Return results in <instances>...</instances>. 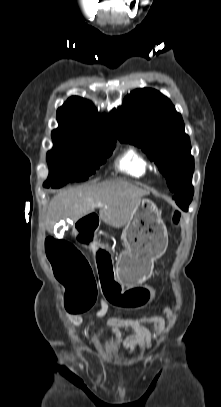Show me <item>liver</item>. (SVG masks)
<instances>
[{
  "mask_svg": "<svg viewBox=\"0 0 221 407\" xmlns=\"http://www.w3.org/2000/svg\"><path fill=\"white\" fill-rule=\"evenodd\" d=\"M148 194L120 180L61 191L49 203V229L60 219L78 221L94 212L98 202L103 204L99 207V218L112 227L120 228L130 221L141 198Z\"/></svg>",
  "mask_w": 221,
  "mask_h": 407,
  "instance_id": "1",
  "label": "liver"
}]
</instances>
